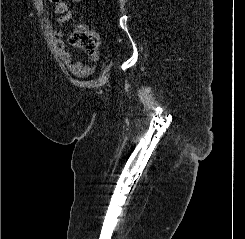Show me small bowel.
<instances>
[{"label": "small bowel", "instance_id": "c3829d8e", "mask_svg": "<svg viewBox=\"0 0 245 239\" xmlns=\"http://www.w3.org/2000/svg\"><path fill=\"white\" fill-rule=\"evenodd\" d=\"M54 12L59 15L56 20L58 27L65 25L73 17V14L68 9L67 4L61 0L55 3ZM55 35L56 45L59 48L61 59L66 64L68 70L77 77H88L92 75L96 70V65H90V63L99 62L100 53L96 51L95 53L89 54L87 63L74 60L70 52L65 49L62 32L56 30Z\"/></svg>", "mask_w": 245, "mask_h": 239}]
</instances>
